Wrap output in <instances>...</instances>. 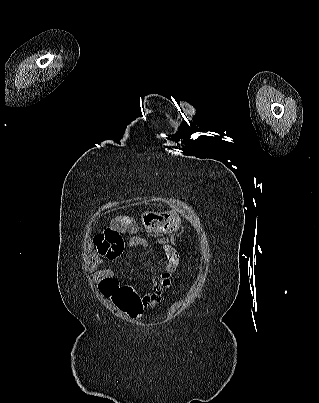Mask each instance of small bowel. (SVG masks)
<instances>
[{
	"mask_svg": "<svg viewBox=\"0 0 319 403\" xmlns=\"http://www.w3.org/2000/svg\"><path fill=\"white\" fill-rule=\"evenodd\" d=\"M137 230L138 226L130 220L129 213H118L114 224H107L104 229L96 230L93 240L95 250L88 255L86 261V269L94 272L100 294L113 303L114 309L130 314L134 319L141 318L146 309H152L161 302L164 293L162 290L170 286L178 267L176 251L166 245L164 268L162 272L152 274V283L144 296L140 297L139 284H123L121 279H116L112 270L104 265L126 253L125 238L128 233Z\"/></svg>",
	"mask_w": 319,
	"mask_h": 403,
	"instance_id": "c3829d8e",
	"label": "small bowel"
}]
</instances>
